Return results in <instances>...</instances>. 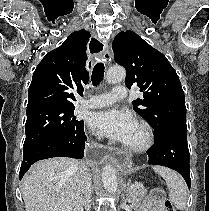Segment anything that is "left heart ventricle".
Returning a JSON list of instances; mask_svg holds the SVG:
<instances>
[{
    "mask_svg": "<svg viewBox=\"0 0 209 211\" xmlns=\"http://www.w3.org/2000/svg\"><path fill=\"white\" fill-rule=\"evenodd\" d=\"M141 139V131L139 127L136 125L133 133L131 134L130 138L125 142V144H136Z\"/></svg>",
    "mask_w": 209,
    "mask_h": 211,
    "instance_id": "obj_1",
    "label": "left heart ventricle"
}]
</instances>
